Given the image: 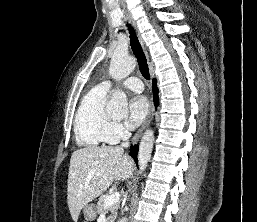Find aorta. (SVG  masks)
I'll use <instances>...</instances> for the list:
<instances>
[{
  "mask_svg": "<svg viewBox=\"0 0 257 222\" xmlns=\"http://www.w3.org/2000/svg\"><path fill=\"white\" fill-rule=\"evenodd\" d=\"M135 68V60L127 53L116 51L111 59L109 74L117 81L126 78ZM106 110L110 114H125L128 110L127 96L121 90H113L112 96L107 104ZM154 143V132L147 129L139 145L138 164L139 172L142 173L150 160ZM119 222H127L122 218Z\"/></svg>",
  "mask_w": 257,
  "mask_h": 222,
  "instance_id": "obj_1",
  "label": "aorta"
}]
</instances>
